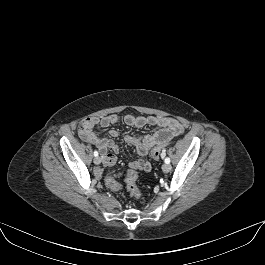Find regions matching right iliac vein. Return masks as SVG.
Listing matches in <instances>:
<instances>
[{
    "instance_id": "63e3f726",
    "label": "right iliac vein",
    "mask_w": 265,
    "mask_h": 265,
    "mask_svg": "<svg viewBox=\"0 0 265 265\" xmlns=\"http://www.w3.org/2000/svg\"><path fill=\"white\" fill-rule=\"evenodd\" d=\"M94 163H95L96 165H99V164L101 163V159H100L99 156H97V157L94 158Z\"/></svg>"
}]
</instances>
